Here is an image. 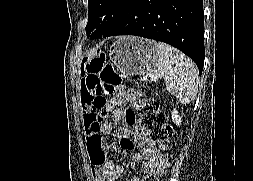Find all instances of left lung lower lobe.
<instances>
[{"mask_svg":"<svg viewBox=\"0 0 253 181\" xmlns=\"http://www.w3.org/2000/svg\"><path fill=\"white\" fill-rule=\"evenodd\" d=\"M202 0H131L102 37L136 35L168 43L188 55L202 73L204 64Z\"/></svg>","mask_w":253,"mask_h":181,"instance_id":"obj_1","label":"left lung lower lobe"}]
</instances>
